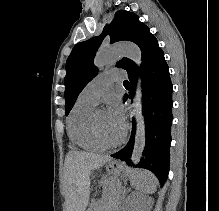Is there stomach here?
Here are the masks:
<instances>
[{"label": "stomach", "mask_w": 219, "mask_h": 211, "mask_svg": "<svg viewBox=\"0 0 219 211\" xmlns=\"http://www.w3.org/2000/svg\"><path fill=\"white\" fill-rule=\"evenodd\" d=\"M125 169V166L117 160H111L106 164V170L110 174H118Z\"/></svg>", "instance_id": "0dacf381"}]
</instances>
